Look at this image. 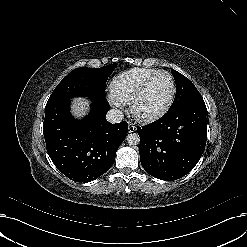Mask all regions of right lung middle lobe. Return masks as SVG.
Instances as JSON below:
<instances>
[{
  "instance_id": "dd1d6c3e",
  "label": "right lung middle lobe",
  "mask_w": 247,
  "mask_h": 247,
  "mask_svg": "<svg viewBox=\"0 0 247 247\" xmlns=\"http://www.w3.org/2000/svg\"><path fill=\"white\" fill-rule=\"evenodd\" d=\"M117 64L101 68H76L55 88L47 103L78 96L105 98V85Z\"/></svg>"
}]
</instances>
